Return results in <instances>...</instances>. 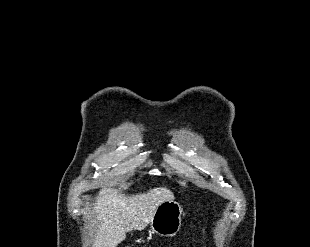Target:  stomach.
<instances>
[{
  "label": "stomach",
  "mask_w": 310,
  "mask_h": 247,
  "mask_svg": "<svg viewBox=\"0 0 310 247\" xmlns=\"http://www.w3.org/2000/svg\"><path fill=\"white\" fill-rule=\"evenodd\" d=\"M183 214V208L178 202L164 201L156 208L149 222L151 230L159 236H174L181 228Z\"/></svg>",
  "instance_id": "stomach-1"
}]
</instances>
